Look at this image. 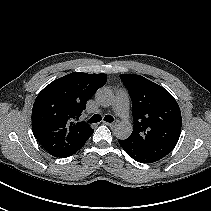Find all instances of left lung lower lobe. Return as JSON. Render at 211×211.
<instances>
[{
  "instance_id": "1",
  "label": "left lung lower lobe",
  "mask_w": 211,
  "mask_h": 211,
  "mask_svg": "<svg viewBox=\"0 0 211 211\" xmlns=\"http://www.w3.org/2000/svg\"><path fill=\"white\" fill-rule=\"evenodd\" d=\"M119 144L122 146V148L131 156L135 161L140 163H153L159 160V158L148 154L144 151L133 149L130 146L127 145L125 140H119Z\"/></svg>"
}]
</instances>
